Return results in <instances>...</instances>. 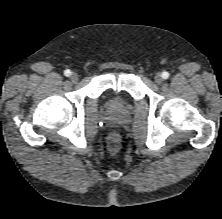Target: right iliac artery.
Returning a JSON list of instances; mask_svg holds the SVG:
<instances>
[{
    "mask_svg": "<svg viewBox=\"0 0 222 219\" xmlns=\"http://www.w3.org/2000/svg\"><path fill=\"white\" fill-rule=\"evenodd\" d=\"M65 76H70L71 75V71L69 69L64 71Z\"/></svg>",
    "mask_w": 222,
    "mask_h": 219,
    "instance_id": "1",
    "label": "right iliac artery"
}]
</instances>
